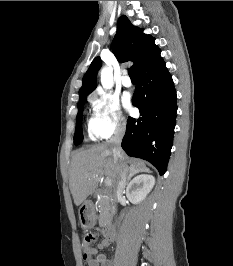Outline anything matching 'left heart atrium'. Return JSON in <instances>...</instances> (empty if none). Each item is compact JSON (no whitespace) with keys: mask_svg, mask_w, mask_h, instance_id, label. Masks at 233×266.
I'll return each mask as SVG.
<instances>
[{"mask_svg":"<svg viewBox=\"0 0 233 266\" xmlns=\"http://www.w3.org/2000/svg\"><path fill=\"white\" fill-rule=\"evenodd\" d=\"M124 105L127 109L131 108V102H130V98L129 97H125L124 98Z\"/></svg>","mask_w":233,"mask_h":266,"instance_id":"39dd6f15","label":"left heart atrium"}]
</instances>
